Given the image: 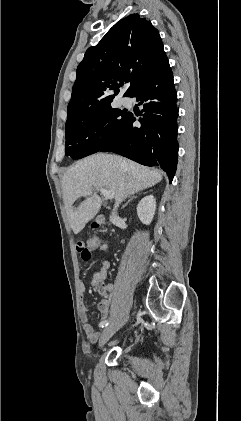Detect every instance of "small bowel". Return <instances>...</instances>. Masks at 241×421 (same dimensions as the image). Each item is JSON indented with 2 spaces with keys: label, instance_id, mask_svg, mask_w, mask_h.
<instances>
[{
  "label": "small bowel",
  "instance_id": "1",
  "mask_svg": "<svg viewBox=\"0 0 241 421\" xmlns=\"http://www.w3.org/2000/svg\"><path fill=\"white\" fill-rule=\"evenodd\" d=\"M99 249L103 251H107L108 247L106 245H98ZM111 262L110 260H104L100 267L95 271L92 279V287L94 290L99 292L103 297L97 304V310L100 313L101 317L103 318L102 321L109 315L110 312V299L111 295L114 291V287L112 284H108L105 282L107 278V274L110 268ZM80 300L82 302L83 297L86 292V287L83 282L79 283L78 286ZM88 309L82 305V321L84 324V332L90 342H96L100 336L99 332H96L93 326L89 323V316H88ZM101 321V322H102Z\"/></svg>",
  "mask_w": 241,
  "mask_h": 421
}]
</instances>
